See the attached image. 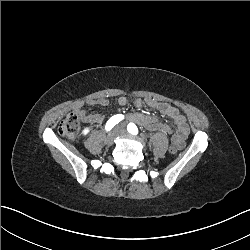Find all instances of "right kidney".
<instances>
[{
    "label": "right kidney",
    "mask_w": 250,
    "mask_h": 250,
    "mask_svg": "<svg viewBox=\"0 0 250 250\" xmlns=\"http://www.w3.org/2000/svg\"><path fill=\"white\" fill-rule=\"evenodd\" d=\"M89 131H90V129H89V128H85V129L82 131V134L86 135V134H88V133H89Z\"/></svg>",
    "instance_id": "right-kidney-1"
}]
</instances>
